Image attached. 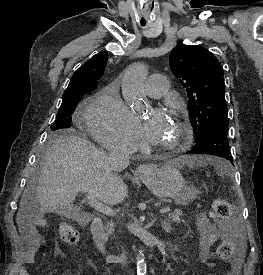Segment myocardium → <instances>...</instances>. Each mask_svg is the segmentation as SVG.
<instances>
[{"instance_id":"1","label":"myocardium","mask_w":263,"mask_h":275,"mask_svg":"<svg viewBox=\"0 0 263 275\" xmlns=\"http://www.w3.org/2000/svg\"><path fill=\"white\" fill-rule=\"evenodd\" d=\"M173 120L175 121L178 130V136L173 143L169 145L159 146V148L165 152H175L184 149L187 147L190 141L191 133L188 123L180 119L179 117H174Z\"/></svg>"}]
</instances>
